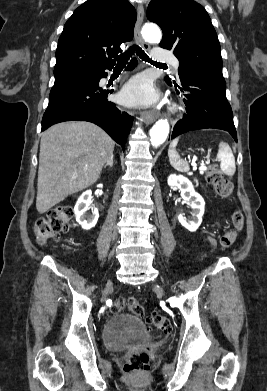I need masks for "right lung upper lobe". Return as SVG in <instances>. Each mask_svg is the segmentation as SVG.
Instances as JSON below:
<instances>
[{
	"label": "right lung upper lobe",
	"mask_w": 267,
	"mask_h": 391,
	"mask_svg": "<svg viewBox=\"0 0 267 391\" xmlns=\"http://www.w3.org/2000/svg\"><path fill=\"white\" fill-rule=\"evenodd\" d=\"M136 17L128 0L83 3L66 22L59 38L54 76L113 66L122 52L120 45L133 38Z\"/></svg>",
	"instance_id": "obj_1"
}]
</instances>
